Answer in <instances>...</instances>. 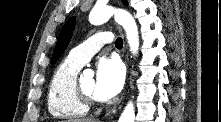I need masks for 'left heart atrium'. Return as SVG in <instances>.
Instances as JSON below:
<instances>
[{
	"mask_svg": "<svg viewBox=\"0 0 221 122\" xmlns=\"http://www.w3.org/2000/svg\"><path fill=\"white\" fill-rule=\"evenodd\" d=\"M124 68L116 58H102L97 65L94 96L100 101L115 97L124 83Z\"/></svg>",
	"mask_w": 221,
	"mask_h": 122,
	"instance_id": "obj_1",
	"label": "left heart atrium"
}]
</instances>
